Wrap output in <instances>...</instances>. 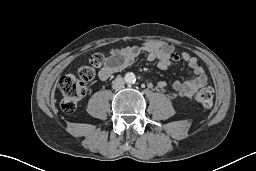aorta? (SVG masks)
Instances as JSON below:
<instances>
[{
    "instance_id": "aorta-1",
    "label": "aorta",
    "mask_w": 256,
    "mask_h": 171,
    "mask_svg": "<svg viewBox=\"0 0 256 171\" xmlns=\"http://www.w3.org/2000/svg\"><path fill=\"white\" fill-rule=\"evenodd\" d=\"M125 81L127 84H133L136 81V76L134 73H126L125 74Z\"/></svg>"
}]
</instances>
